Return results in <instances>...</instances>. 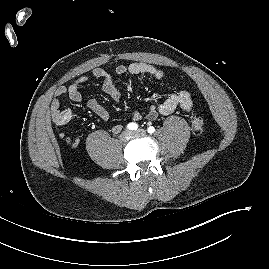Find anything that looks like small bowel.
<instances>
[{
  "label": "small bowel",
  "mask_w": 269,
  "mask_h": 269,
  "mask_svg": "<svg viewBox=\"0 0 269 269\" xmlns=\"http://www.w3.org/2000/svg\"><path fill=\"white\" fill-rule=\"evenodd\" d=\"M117 75L130 74L134 76H147L157 81H164L166 78L165 73L148 63L133 62L128 65H119L115 69ZM93 76L103 81L104 92L113 100L117 101L121 97L120 91L117 89L114 83L112 74L105 71L102 68H96L93 70ZM89 80L88 76H81L72 81L67 87L60 86L56 89L51 101L50 109L51 115L54 121L59 125H67L71 121V114L69 111L62 110L60 105V98L67 95L68 98L76 103L82 101V95L80 93L81 85L85 84ZM88 108L94 112L100 119L107 121L110 118L109 112L95 99L90 98L87 101ZM193 107L191 94L187 90H179L171 94L166 100L160 103L158 106H151L146 114L149 120H155L158 115H169L176 108H180L184 112H190ZM69 118V123L64 121V117ZM142 118V114L139 111H135L132 114L133 121H139ZM122 126L117 124L112 127L113 133H119Z\"/></svg>",
  "instance_id": "obj_1"
}]
</instances>
